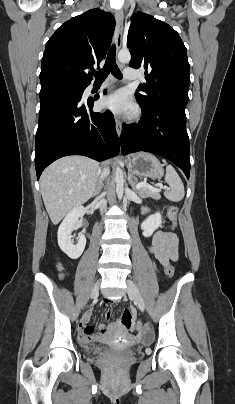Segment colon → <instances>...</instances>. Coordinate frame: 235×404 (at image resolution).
<instances>
[{
  "mask_svg": "<svg viewBox=\"0 0 235 404\" xmlns=\"http://www.w3.org/2000/svg\"><path fill=\"white\" fill-rule=\"evenodd\" d=\"M178 212V208L176 206H171L169 208V213H170V219H171V227L174 228L176 224V214ZM166 274L168 277H172L174 274V269L171 265H168L166 267ZM121 324L123 327H125L128 330H135L140 327V324L135 322L132 312L129 309H124L121 319H120Z\"/></svg>",
  "mask_w": 235,
  "mask_h": 404,
  "instance_id": "colon-1",
  "label": "colon"
}]
</instances>
